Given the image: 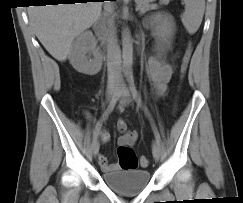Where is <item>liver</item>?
<instances>
[{
  "label": "liver",
  "instance_id": "liver-1",
  "mask_svg": "<svg viewBox=\"0 0 243 203\" xmlns=\"http://www.w3.org/2000/svg\"><path fill=\"white\" fill-rule=\"evenodd\" d=\"M102 2L30 6L28 15L35 34L45 49L58 61L71 53L76 36L100 17Z\"/></svg>",
  "mask_w": 243,
  "mask_h": 203
}]
</instances>
